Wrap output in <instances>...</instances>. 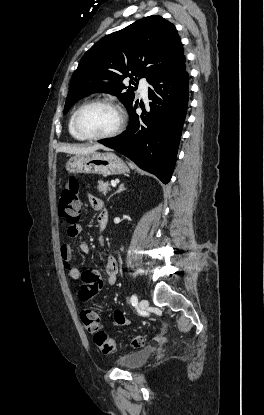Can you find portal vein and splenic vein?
<instances>
[{
	"mask_svg": "<svg viewBox=\"0 0 264 415\" xmlns=\"http://www.w3.org/2000/svg\"><path fill=\"white\" fill-rule=\"evenodd\" d=\"M111 185H112L113 187H115V186H116V182H115V181H112V182H111Z\"/></svg>",
	"mask_w": 264,
	"mask_h": 415,
	"instance_id": "18ae733b",
	"label": "portal vein and splenic vein"
}]
</instances>
